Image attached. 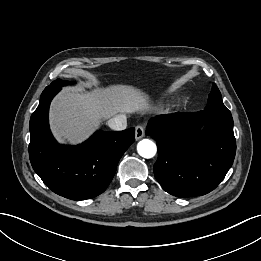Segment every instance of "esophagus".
<instances>
[{
  "mask_svg": "<svg viewBox=\"0 0 261 261\" xmlns=\"http://www.w3.org/2000/svg\"><path fill=\"white\" fill-rule=\"evenodd\" d=\"M144 135H145V131H144L143 126H140V125L136 126V128H135V139L139 140L142 137H144Z\"/></svg>",
  "mask_w": 261,
  "mask_h": 261,
  "instance_id": "34e87169",
  "label": "esophagus"
}]
</instances>
